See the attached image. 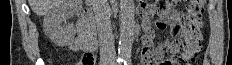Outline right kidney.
<instances>
[{"label": "right kidney", "instance_id": "obj_1", "mask_svg": "<svg viewBox=\"0 0 232 65\" xmlns=\"http://www.w3.org/2000/svg\"><path fill=\"white\" fill-rule=\"evenodd\" d=\"M76 11L71 1H65L63 4L53 8L43 21V30L45 34L58 46H66L75 37V27L67 23Z\"/></svg>", "mask_w": 232, "mask_h": 65}]
</instances>
